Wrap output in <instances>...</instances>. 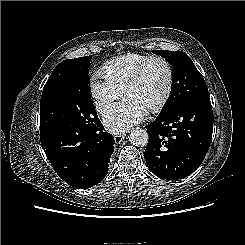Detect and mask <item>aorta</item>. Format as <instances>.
<instances>
[{"label": "aorta", "instance_id": "aorta-1", "mask_svg": "<svg viewBox=\"0 0 245 245\" xmlns=\"http://www.w3.org/2000/svg\"><path fill=\"white\" fill-rule=\"evenodd\" d=\"M149 135L142 128H135L131 131L129 141L135 146H145L148 143Z\"/></svg>", "mask_w": 245, "mask_h": 245}]
</instances>
